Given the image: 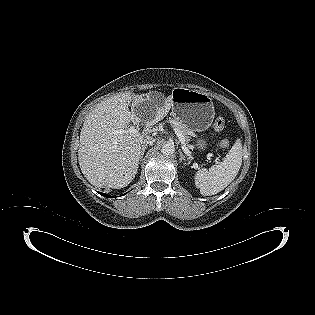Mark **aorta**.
Returning a JSON list of instances; mask_svg holds the SVG:
<instances>
[{
    "label": "aorta",
    "instance_id": "aorta-1",
    "mask_svg": "<svg viewBox=\"0 0 315 315\" xmlns=\"http://www.w3.org/2000/svg\"><path fill=\"white\" fill-rule=\"evenodd\" d=\"M175 151V147L174 144L172 143H167L164 146H162L161 148V152L162 154L168 156V155H172Z\"/></svg>",
    "mask_w": 315,
    "mask_h": 315
}]
</instances>
